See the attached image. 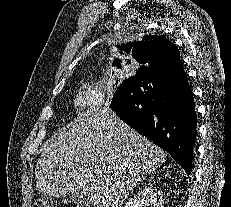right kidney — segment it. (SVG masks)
I'll use <instances>...</instances> for the list:
<instances>
[{"instance_id": "ca27d5eb", "label": "right kidney", "mask_w": 231, "mask_h": 207, "mask_svg": "<svg viewBox=\"0 0 231 207\" xmlns=\"http://www.w3.org/2000/svg\"><path fill=\"white\" fill-rule=\"evenodd\" d=\"M162 192L149 185L135 194L124 207H163Z\"/></svg>"}]
</instances>
